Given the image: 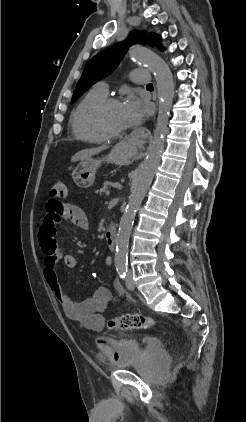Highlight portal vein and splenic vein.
Segmentation results:
<instances>
[{
  "label": "portal vein and splenic vein",
  "instance_id": "portal-vein-and-splenic-vein-1",
  "mask_svg": "<svg viewBox=\"0 0 246 422\" xmlns=\"http://www.w3.org/2000/svg\"><path fill=\"white\" fill-rule=\"evenodd\" d=\"M106 195H107V196H109V195H110V191H109V190H107V191H106Z\"/></svg>",
  "mask_w": 246,
  "mask_h": 422
}]
</instances>
